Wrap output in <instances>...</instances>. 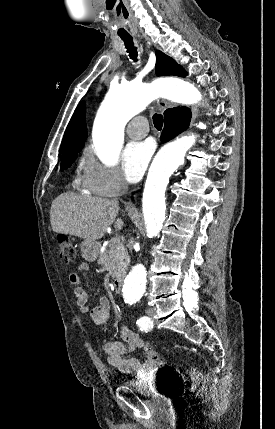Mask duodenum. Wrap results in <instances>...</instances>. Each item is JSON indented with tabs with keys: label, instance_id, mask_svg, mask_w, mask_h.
Returning a JSON list of instances; mask_svg holds the SVG:
<instances>
[{
	"label": "duodenum",
	"instance_id": "obj_1",
	"mask_svg": "<svg viewBox=\"0 0 275 429\" xmlns=\"http://www.w3.org/2000/svg\"><path fill=\"white\" fill-rule=\"evenodd\" d=\"M113 287L114 290L116 292H120L121 288H122V278L121 277H117L114 281H113Z\"/></svg>",
	"mask_w": 275,
	"mask_h": 429
}]
</instances>
